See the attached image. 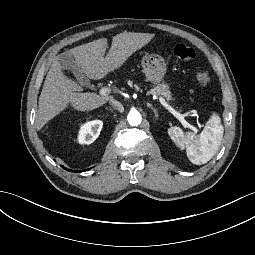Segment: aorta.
<instances>
[{
  "label": "aorta",
  "mask_w": 255,
  "mask_h": 255,
  "mask_svg": "<svg viewBox=\"0 0 255 255\" xmlns=\"http://www.w3.org/2000/svg\"><path fill=\"white\" fill-rule=\"evenodd\" d=\"M128 122L132 126H137L141 123L142 117L138 111H130L127 116Z\"/></svg>",
  "instance_id": "obj_1"
}]
</instances>
